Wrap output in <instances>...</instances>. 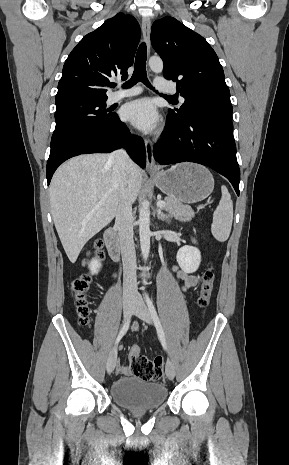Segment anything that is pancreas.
<instances>
[{
  "label": "pancreas",
  "mask_w": 289,
  "mask_h": 465,
  "mask_svg": "<svg viewBox=\"0 0 289 465\" xmlns=\"http://www.w3.org/2000/svg\"><path fill=\"white\" fill-rule=\"evenodd\" d=\"M164 202L165 205L163 206V209L169 212V214L174 216L177 220L190 221L195 216V213L190 206L184 205L176 199L166 197Z\"/></svg>",
  "instance_id": "obj_1"
}]
</instances>
